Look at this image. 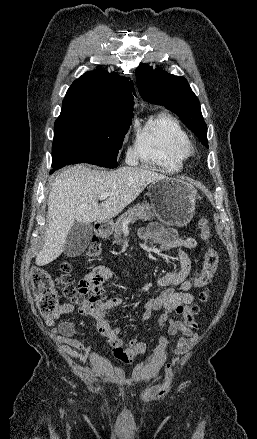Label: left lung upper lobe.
Returning <instances> with one entry per match:
<instances>
[{
  "label": "left lung upper lobe",
  "instance_id": "1",
  "mask_svg": "<svg viewBox=\"0 0 257 439\" xmlns=\"http://www.w3.org/2000/svg\"><path fill=\"white\" fill-rule=\"evenodd\" d=\"M136 79L139 93L145 101L164 105L173 111L208 147L207 126L199 100L184 77L168 74L159 68L153 70L149 65L141 64L136 69Z\"/></svg>",
  "mask_w": 257,
  "mask_h": 439
}]
</instances>
